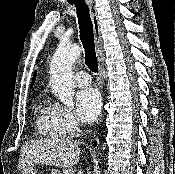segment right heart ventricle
Here are the masks:
<instances>
[{
  "instance_id": "right-heart-ventricle-1",
  "label": "right heart ventricle",
  "mask_w": 175,
  "mask_h": 174,
  "mask_svg": "<svg viewBox=\"0 0 175 174\" xmlns=\"http://www.w3.org/2000/svg\"><path fill=\"white\" fill-rule=\"evenodd\" d=\"M36 126L38 132L44 137L60 139L65 136L56 123L54 106L45 99H42L37 106Z\"/></svg>"
}]
</instances>
